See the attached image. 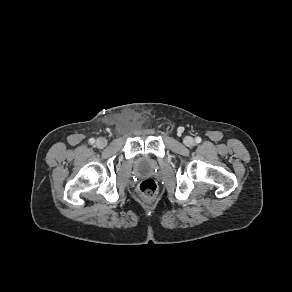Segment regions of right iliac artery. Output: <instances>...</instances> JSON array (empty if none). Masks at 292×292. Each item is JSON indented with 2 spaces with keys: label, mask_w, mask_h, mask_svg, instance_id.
<instances>
[{
  "label": "right iliac artery",
  "mask_w": 292,
  "mask_h": 292,
  "mask_svg": "<svg viewBox=\"0 0 292 292\" xmlns=\"http://www.w3.org/2000/svg\"><path fill=\"white\" fill-rule=\"evenodd\" d=\"M89 142H90L91 144H93V143L95 142L94 138H90V139H89Z\"/></svg>",
  "instance_id": "1"
}]
</instances>
